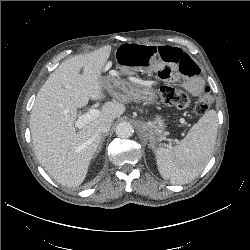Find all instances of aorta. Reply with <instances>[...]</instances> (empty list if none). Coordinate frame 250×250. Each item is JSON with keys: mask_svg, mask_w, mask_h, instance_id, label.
I'll return each instance as SVG.
<instances>
[{"mask_svg": "<svg viewBox=\"0 0 250 250\" xmlns=\"http://www.w3.org/2000/svg\"><path fill=\"white\" fill-rule=\"evenodd\" d=\"M116 135L120 138H129L134 130L133 126L128 122H121L116 126Z\"/></svg>", "mask_w": 250, "mask_h": 250, "instance_id": "1", "label": "aorta"}]
</instances>
